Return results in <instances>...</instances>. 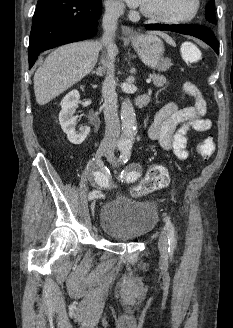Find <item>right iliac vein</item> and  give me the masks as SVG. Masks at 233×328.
Segmentation results:
<instances>
[{
    "instance_id": "right-iliac-vein-1",
    "label": "right iliac vein",
    "mask_w": 233,
    "mask_h": 328,
    "mask_svg": "<svg viewBox=\"0 0 233 328\" xmlns=\"http://www.w3.org/2000/svg\"><path fill=\"white\" fill-rule=\"evenodd\" d=\"M109 151H110L109 148H107V147H105V146H101V147H99V149L97 150L96 157H97L98 159H100L102 156H106V155L108 154ZM90 208H91L92 215L94 216V212H95V201H93V202L91 203Z\"/></svg>"
}]
</instances>
